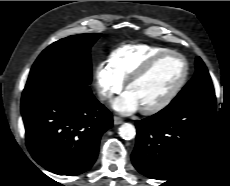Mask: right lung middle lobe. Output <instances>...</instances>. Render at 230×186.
Returning <instances> with one entry per match:
<instances>
[{
  "mask_svg": "<svg viewBox=\"0 0 230 186\" xmlns=\"http://www.w3.org/2000/svg\"><path fill=\"white\" fill-rule=\"evenodd\" d=\"M101 34L69 36L48 46L37 58L27 83L58 74L69 75L90 84L92 80L90 48Z\"/></svg>",
  "mask_w": 230,
  "mask_h": 186,
  "instance_id": "right-lung-middle-lobe-1",
  "label": "right lung middle lobe"
}]
</instances>
